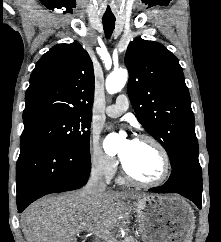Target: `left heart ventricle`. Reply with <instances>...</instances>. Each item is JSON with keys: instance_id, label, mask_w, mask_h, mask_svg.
Returning <instances> with one entry per match:
<instances>
[{"instance_id": "b2bd125f", "label": "left heart ventricle", "mask_w": 221, "mask_h": 242, "mask_svg": "<svg viewBox=\"0 0 221 242\" xmlns=\"http://www.w3.org/2000/svg\"><path fill=\"white\" fill-rule=\"evenodd\" d=\"M120 156L128 170L141 180H155L162 172L161 156L156 147L148 141L136 140L133 144L123 142Z\"/></svg>"}]
</instances>
